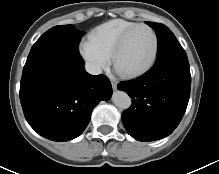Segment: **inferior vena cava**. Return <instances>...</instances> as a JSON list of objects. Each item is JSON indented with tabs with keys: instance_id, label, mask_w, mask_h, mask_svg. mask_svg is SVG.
Instances as JSON below:
<instances>
[{
	"instance_id": "inferior-vena-cava-1",
	"label": "inferior vena cava",
	"mask_w": 219,
	"mask_h": 174,
	"mask_svg": "<svg viewBox=\"0 0 219 174\" xmlns=\"http://www.w3.org/2000/svg\"><path fill=\"white\" fill-rule=\"evenodd\" d=\"M85 68L86 71L92 75H98L102 73L101 68L94 63H90V62L86 63Z\"/></svg>"
}]
</instances>
